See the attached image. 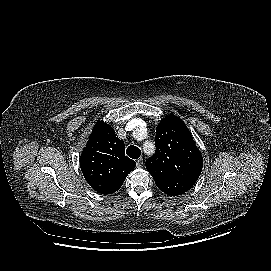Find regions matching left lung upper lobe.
I'll use <instances>...</instances> for the list:
<instances>
[{
    "mask_svg": "<svg viewBox=\"0 0 271 271\" xmlns=\"http://www.w3.org/2000/svg\"><path fill=\"white\" fill-rule=\"evenodd\" d=\"M155 144V155L146 160V168L158 188L175 196L179 180L193 185L203 160L185 123L177 116H166L156 128Z\"/></svg>",
    "mask_w": 271,
    "mask_h": 271,
    "instance_id": "left-lung-upper-lobe-1",
    "label": "left lung upper lobe"
}]
</instances>
